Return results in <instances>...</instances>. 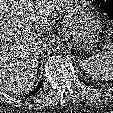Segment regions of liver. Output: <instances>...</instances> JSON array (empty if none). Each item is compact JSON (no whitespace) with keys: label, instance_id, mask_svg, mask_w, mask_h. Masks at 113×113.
<instances>
[{"label":"liver","instance_id":"obj_1","mask_svg":"<svg viewBox=\"0 0 113 113\" xmlns=\"http://www.w3.org/2000/svg\"><path fill=\"white\" fill-rule=\"evenodd\" d=\"M64 0H0V88L28 93L38 68V37Z\"/></svg>","mask_w":113,"mask_h":113}]
</instances>
